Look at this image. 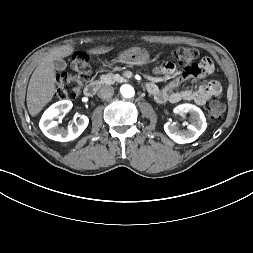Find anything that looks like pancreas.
Wrapping results in <instances>:
<instances>
[{"instance_id": "pancreas-1", "label": "pancreas", "mask_w": 253, "mask_h": 253, "mask_svg": "<svg viewBox=\"0 0 253 253\" xmlns=\"http://www.w3.org/2000/svg\"><path fill=\"white\" fill-rule=\"evenodd\" d=\"M121 79V77H115L110 75H102L100 80L98 81L99 84H113L116 80Z\"/></svg>"}]
</instances>
